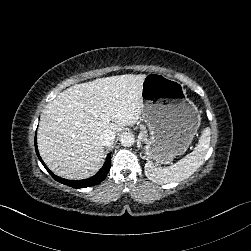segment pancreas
I'll return each mask as SVG.
<instances>
[{"label":"pancreas","instance_id":"obj_1","mask_svg":"<svg viewBox=\"0 0 251 251\" xmlns=\"http://www.w3.org/2000/svg\"><path fill=\"white\" fill-rule=\"evenodd\" d=\"M140 129H141L140 136L142 137V139L145 140V138L147 137V131L145 129V126L144 125H140Z\"/></svg>","mask_w":251,"mask_h":251}]
</instances>
